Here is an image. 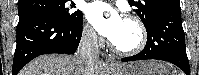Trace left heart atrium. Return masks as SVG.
Returning <instances> with one entry per match:
<instances>
[{
    "label": "left heart atrium",
    "mask_w": 199,
    "mask_h": 75,
    "mask_svg": "<svg viewBox=\"0 0 199 75\" xmlns=\"http://www.w3.org/2000/svg\"><path fill=\"white\" fill-rule=\"evenodd\" d=\"M89 21L99 34L113 41L125 22L124 16L103 2H94L87 9Z\"/></svg>",
    "instance_id": "1"
}]
</instances>
